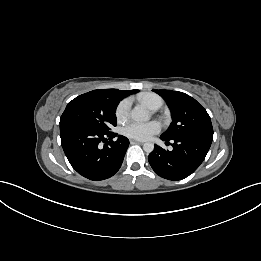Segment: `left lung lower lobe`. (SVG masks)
Instances as JSON below:
<instances>
[{
  "instance_id": "obj_1",
  "label": "left lung lower lobe",
  "mask_w": 261,
  "mask_h": 261,
  "mask_svg": "<svg viewBox=\"0 0 261 261\" xmlns=\"http://www.w3.org/2000/svg\"><path fill=\"white\" fill-rule=\"evenodd\" d=\"M162 140L169 143L164 137ZM172 151L155 145L148 160L157 175L168 180H182L192 174L203 162L211 146L207 136H183L171 140Z\"/></svg>"
}]
</instances>
